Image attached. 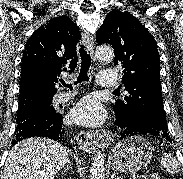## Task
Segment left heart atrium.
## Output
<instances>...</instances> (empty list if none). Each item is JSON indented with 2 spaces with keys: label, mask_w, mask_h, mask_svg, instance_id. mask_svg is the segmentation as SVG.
Listing matches in <instances>:
<instances>
[{
  "label": "left heart atrium",
  "mask_w": 183,
  "mask_h": 179,
  "mask_svg": "<svg viewBox=\"0 0 183 179\" xmlns=\"http://www.w3.org/2000/svg\"><path fill=\"white\" fill-rule=\"evenodd\" d=\"M105 115L100 101L93 96H87L72 109L70 117L78 124L97 126L104 121Z\"/></svg>",
  "instance_id": "left-heart-atrium-1"
}]
</instances>
